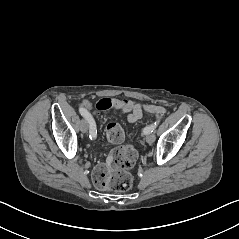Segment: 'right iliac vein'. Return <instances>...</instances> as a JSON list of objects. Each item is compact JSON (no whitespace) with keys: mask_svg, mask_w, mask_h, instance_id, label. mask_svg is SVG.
Here are the masks:
<instances>
[{"mask_svg":"<svg viewBox=\"0 0 239 239\" xmlns=\"http://www.w3.org/2000/svg\"><path fill=\"white\" fill-rule=\"evenodd\" d=\"M88 121L86 119L81 120L80 122V130L83 133H86L88 131Z\"/></svg>","mask_w":239,"mask_h":239,"instance_id":"obj_1","label":"right iliac vein"}]
</instances>
